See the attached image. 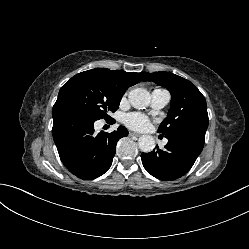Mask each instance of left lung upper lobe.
<instances>
[{"mask_svg": "<svg viewBox=\"0 0 249 249\" xmlns=\"http://www.w3.org/2000/svg\"><path fill=\"white\" fill-rule=\"evenodd\" d=\"M144 81H153L171 93V107L158 133L166 136L182 130L206 132V100L193 83L171 72L146 73Z\"/></svg>", "mask_w": 249, "mask_h": 249, "instance_id": "5c2ea615", "label": "left lung upper lobe"}]
</instances>
